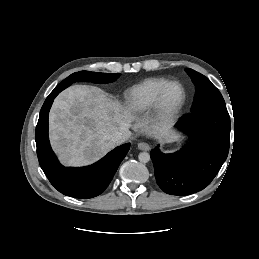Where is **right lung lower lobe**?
Listing matches in <instances>:
<instances>
[{"mask_svg":"<svg viewBox=\"0 0 259 259\" xmlns=\"http://www.w3.org/2000/svg\"><path fill=\"white\" fill-rule=\"evenodd\" d=\"M60 90L54 89L50 93L40 111L35 133L39 164L50 183L62 194L80 199L92 198L107 188L130 144L115 148L90 166L73 168L61 165L48 138V114Z\"/></svg>","mask_w":259,"mask_h":259,"instance_id":"98d812e1","label":"right lung lower lobe"}]
</instances>
